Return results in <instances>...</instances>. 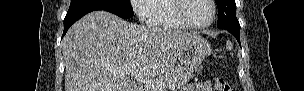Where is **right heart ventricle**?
Wrapping results in <instances>:
<instances>
[{"instance_id":"right-heart-ventricle-1","label":"right heart ventricle","mask_w":304,"mask_h":91,"mask_svg":"<svg viewBox=\"0 0 304 91\" xmlns=\"http://www.w3.org/2000/svg\"><path fill=\"white\" fill-rule=\"evenodd\" d=\"M175 3L176 0H155L150 7L153 15L152 26L166 29H187V26L175 15Z\"/></svg>"}]
</instances>
